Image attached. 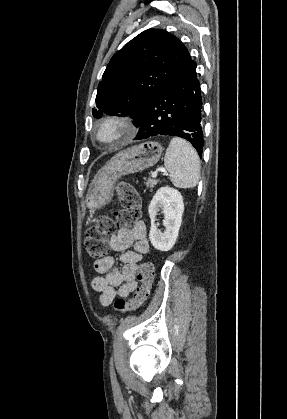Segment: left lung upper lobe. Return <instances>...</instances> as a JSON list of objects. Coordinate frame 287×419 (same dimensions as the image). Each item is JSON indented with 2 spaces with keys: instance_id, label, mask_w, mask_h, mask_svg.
Instances as JSON below:
<instances>
[{
  "instance_id": "obj_1",
  "label": "left lung upper lobe",
  "mask_w": 287,
  "mask_h": 419,
  "mask_svg": "<svg viewBox=\"0 0 287 419\" xmlns=\"http://www.w3.org/2000/svg\"><path fill=\"white\" fill-rule=\"evenodd\" d=\"M194 61L175 36L149 29L111 58L99 83L93 116H130L141 122L149 100Z\"/></svg>"
}]
</instances>
